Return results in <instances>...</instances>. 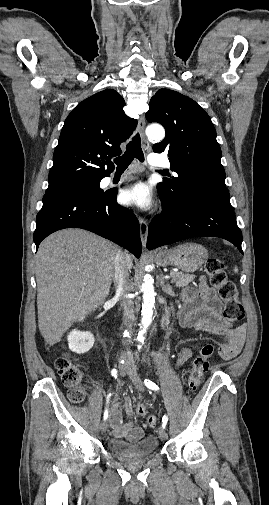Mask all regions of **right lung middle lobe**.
<instances>
[{"instance_id":"right-lung-middle-lobe-1","label":"right lung middle lobe","mask_w":269,"mask_h":505,"mask_svg":"<svg viewBox=\"0 0 269 505\" xmlns=\"http://www.w3.org/2000/svg\"><path fill=\"white\" fill-rule=\"evenodd\" d=\"M101 179H93V180H88L84 182H80L74 185H70L67 187L59 188V189H54V190H46V193H52L56 191H62V190H78V191H86L95 195H103L106 192H104L102 189H100L99 183Z\"/></svg>"}]
</instances>
